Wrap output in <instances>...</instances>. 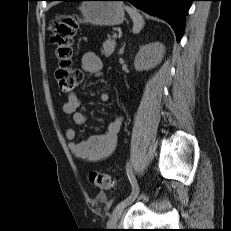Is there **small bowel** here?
Here are the masks:
<instances>
[{
  "instance_id": "obj_1",
  "label": "small bowel",
  "mask_w": 231,
  "mask_h": 231,
  "mask_svg": "<svg viewBox=\"0 0 231 231\" xmlns=\"http://www.w3.org/2000/svg\"><path fill=\"white\" fill-rule=\"evenodd\" d=\"M81 64L82 68L91 74H99L103 70L101 59L92 52L83 55ZM99 98L102 103L110 101V95L107 92H102ZM80 107L81 100L75 93L68 94L62 106V111L70 116L72 122V125L65 132L70 152L76 159L88 163L98 162L110 157L118 147L119 132L123 119L119 117L111 122L104 134L92 135L86 140L76 141L77 130L75 125L83 124L86 121V115Z\"/></svg>"
}]
</instances>
